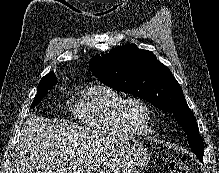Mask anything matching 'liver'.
I'll list each match as a JSON object with an SVG mask.
<instances>
[{"instance_id":"liver-1","label":"liver","mask_w":219,"mask_h":173,"mask_svg":"<svg viewBox=\"0 0 219 173\" xmlns=\"http://www.w3.org/2000/svg\"><path fill=\"white\" fill-rule=\"evenodd\" d=\"M121 146L98 131L31 115L17 142L14 173H91Z\"/></svg>"}]
</instances>
